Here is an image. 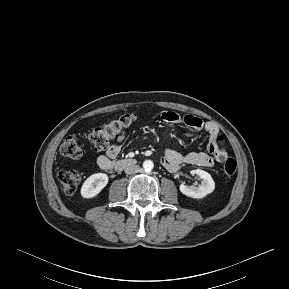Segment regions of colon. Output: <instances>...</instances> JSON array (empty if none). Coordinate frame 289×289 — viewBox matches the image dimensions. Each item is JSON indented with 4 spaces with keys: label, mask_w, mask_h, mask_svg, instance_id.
<instances>
[{
    "label": "colon",
    "mask_w": 289,
    "mask_h": 289,
    "mask_svg": "<svg viewBox=\"0 0 289 289\" xmlns=\"http://www.w3.org/2000/svg\"><path fill=\"white\" fill-rule=\"evenodd\" d=\"M133 114H124L113 119L104 125L95 128L88 136L89 141L97 151H105L110 147V141L128 129L135 121ZM219 143H223V138H218ZM63 156L77 159L82 156V147L79 138L75 135L68 136L60 147ZM237 168L236 161L228 158L224 163V173L226 176H232ZM60 186L65 194L72 195L76 192L80 183V175L75 170H62L58 174Z\"/></svg>",
    "instance_id": "obj_1"
}]
</instances>
